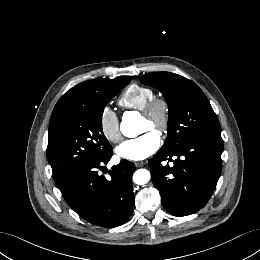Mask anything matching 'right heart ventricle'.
<instances>
[{
	"label": "right heart ventricle",
	"instance_id": "e07e8e85",
	"mask_svg": "<svg viewBox=\"0 0 260 260\" xmlns=\"http://www.w3.org/2000/svg\"><path fill=\"white\" fill-rule=\"evenodd\" d=\"M154 96V91L150 87L132 84L122 93L118 102L126 109L142 110Z\"/></svg>",
	"mask_w": 260,
	"mask_h": 260
}]
</instances>
